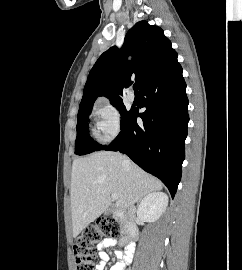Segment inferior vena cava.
Wrapping results in <instances>:
<instances>
[{"mask_svg":"<svg viewBox=\"0 0 242 270\" xmlns=\"http://www.w3.org/2000/svg\"><path fill=\"white\" fill-rule=\"evenodd\" d=\"M123 164L126 165V166H129V165H130V160L125 159L124 162H123ZM135 211H136V210H135L134 205L130 206V208H129V214H130L131 217L134 216Z\"/></svg>","mask_w":242,"mask_h":270,"instance_id":"1","label":"inferior vena cava"}]
</instances>
